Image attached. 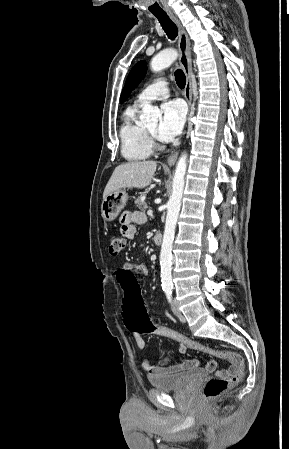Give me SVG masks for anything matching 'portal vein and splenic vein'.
I'll use <instances>...</instances> for the list:
<instances>
[{
  "instance_id": "1",
  "label": "portal vein and splenic vein",
  "mask_w": 289,
  "mask_h": 449,
  "mask_svg": "<svg viewBox=\"0 0 289 449\" xmlns=\"http://www.w3.org/2000/svg\"><path fill=\"white\" fill-rule=\"evenodd\" d=\"M152 214H153V211H152L151 209H149V210L147 211V215L151 216Z\"/></svg>"
}]
</instances>
